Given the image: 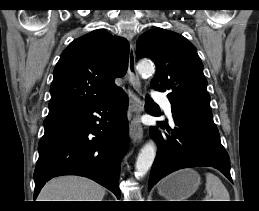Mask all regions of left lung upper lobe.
<instances>
[{
    "label": "left lung upper lobe",
    "instance_id": "1",
    "mask_svg": "<svg viewBox=\"0 0 259 211\" xmlns=\"http://www.w3.org/2000/svg\"><path fill=\"white\" fill-rule=\"evenodd\" d=\"M136 54L154 61L157 68L151 88L167 92L172 105L212 114L203 64L186 38L169 30L151 29L137 40Z\"/></svg>",
    "mask_w": 259,
    "mask_h": 211
}]
</instances>
